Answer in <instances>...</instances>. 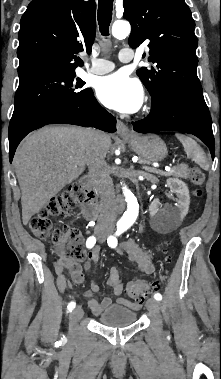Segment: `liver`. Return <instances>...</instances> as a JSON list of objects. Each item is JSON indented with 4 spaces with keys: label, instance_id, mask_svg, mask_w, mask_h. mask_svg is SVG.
Segmentation results:
<instances>
[{
    "label": "liver",
    "instance_id": "1",
    "mask_svg": "<svg viewBox=\"0 0 221 379\" xmlns=\"http://www.w3.org/2000/svg\"><path fill=\"white\" fill-rule=\"evenodd\" d=\"M87 131L80 127L47 126L22 140L13 164L21 189L24 225L84 172ZM99 145L105 157L111 145L110 136L100 133Z\"/></svg>",
    "mask_w": 221,
    "mask_h": 379
}]
</instances>
